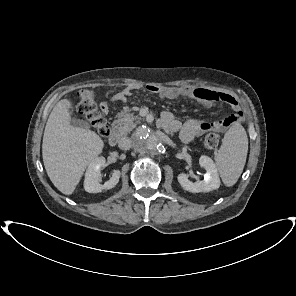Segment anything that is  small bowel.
<instances>
[{"instance_id": "obj_1", "label": "small bowel", "mask_w": 296, "mask_h": 296, "mask_svg": "<svg viewBox=\"0 0 296 296\" xmlns=\"http://www.w3.org/2000/svg\"><path fill=\"white\" fill-rule=\"evenodd\" d=\"M133 87H127L122 91L113 95L110 99L112 102H125L131 96ZM150 92L158 93L162 97L175 99L178 97H188L196 100L203 107L208 108L214 104L226 103L233 113L223 119L216 121H203L196 118L188 119L181 124L172 113L164 112L162 114L160 125L170 131L180 132V137L184 142H192L197 137L208 131L223 132L232 125L240 123L244 119V113L235 97L228 93L214 91L206 88L195 86L180 87H159L150 85L147 87ZM103 112H108L109 102L105 101L101 104Z\"/></svg>"}]
</instances>
